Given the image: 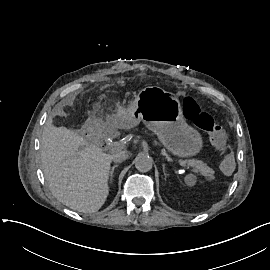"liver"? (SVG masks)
Instances as JSON below:
<instances>
[{
    "label": "liver",
    "instance_id": "1",
    "mask_svg": "<svg viewBox=\"0 0 270 270\" xmlns=\"http://www.w3.org/2000/svg\"><path fill=\"white\" fill-rule=\"evenodd\" d=\"M40 143L44 176L53 195L74 210L98 211L110 192L112 155L102 152L97 139L86 140L77 131L56 127L52 118L44 126Z\"/></svg>",
    "mask_w": 270,
    "mask_h": 270
}]
</instances>
